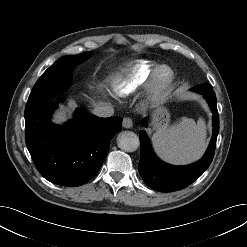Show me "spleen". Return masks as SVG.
I'll list each match as a JSON object with an SVG mask.
<instances>
[{"label": "spleen", "mask_w": 247, "mask_h": 247, "mask_svg": "<svg viewBox=\"0 0 247 247\" xmlns=\"http://www.w3.org/2000/svg\"><path fill=\"white\" fill-rule=\"evenodd\" d=\"M157 154L166 162L183 165L198 160L206 149V125L187 117L171 127L159 128L152 137Z\"/></svg>", "instance_id": "3e777b00"}]
</instances>
